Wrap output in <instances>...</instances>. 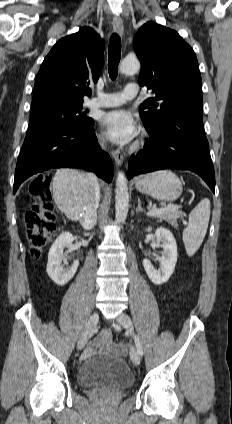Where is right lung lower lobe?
Wrapping results in <instances>:
<instances>
[{"instance_id":"obj_1","label":"right lung lower lobe","mask_w":232,"mask_h":424,"mask_svg":"<svg viewBox=\"0 0 232 424\" xmlns=\"http://www.w3.org/2000/svg\"><path fill=\"white\" fill-rule=\"evenodd\" d=\"M92 126L83 129L29 127L17 160L13 192L33 174L59 167H82L110 182L113 163L98 146Z\"/></svg>"}]
</instances>
